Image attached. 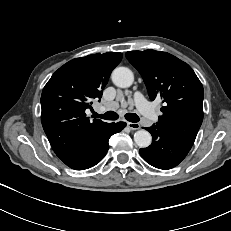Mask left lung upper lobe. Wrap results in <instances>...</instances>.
<instances>
[{
    "label": "left lung upper lobe",
    "mask_w": 231,
    "mask_h": 231,
    "mask_svg": "<svg viewBox=\"0 0 231 231\" xmlns=\"http://www.w3.org/2000/svg\"><path fill=\"white\" fill-rule=\"evenodd\" d=\"M126 57L142 75L150 99L162 100L157 124L194 143L203 120L204 90L192 68L155 50L129 51Z\"/></svg>",
    "instance_id": "obj_1"
}]
</instances>
